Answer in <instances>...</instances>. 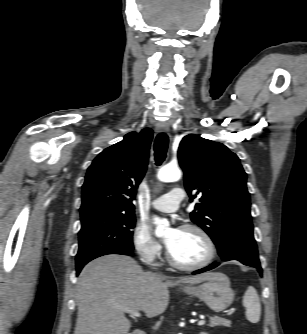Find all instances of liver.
Wrapping results in <instances>:
<instances>
[{"mask_svg": "<svg viewBox=\"0 0 307 334\" xmlns=\"http://www.w3.org/2000/svg\"><path fill=\"white\" fill-rule=\"evenodd\" d=\"M212 276L213 273H203L172 281L144 272L129 256L99 257L89 262L78 277L74 334H130L131 322L119 307L142 311L152 318L166 310L168 287L179 283L197 284Z\"/></svg>", "mask_w": 307, "mask_h": 334, "instance_id": "1", "label": "liver"}]
</instances>
